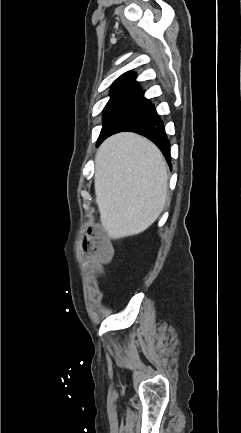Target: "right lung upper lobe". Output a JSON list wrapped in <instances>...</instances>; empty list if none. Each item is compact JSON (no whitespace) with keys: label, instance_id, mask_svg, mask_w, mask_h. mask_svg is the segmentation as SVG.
<instances>
[{"label":"right lung upper lobe","instance_id":"cb5924a9","mask_svg":"<svg viewBox=\"0 0 241 433\" xmlns=\"http://www.w3.org/2000/svg\"><path fill=\"white\" fill-rule=\"evenodd\" d=\"M135 73H124L116 79L111 88V98L125 96H143L144 91L135 81Z\"/></svg>","mask_w":241,"mask_h":433}]
</instances>
